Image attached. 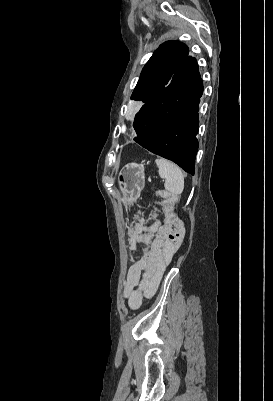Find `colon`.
Returning a JSON list of instances; mask_svg holds the SVG:
<instances>
[{"label": "colon", "mask_w": 273, "mask_h": 401, "mask_svg": "<svg viewBox=\"0 0 273 401\" xmlns=\"http://www.w3.org/2000/svg\"><path fill=\"white\" fill-rule=\"evenodd\" d=\"M183 223L171 216L167 215L164 219L163 225L158 228L157 240L158 241H184V232H177L181 230Z\"/></svg>", "instance_id": "obj_1"}]
</instances>
